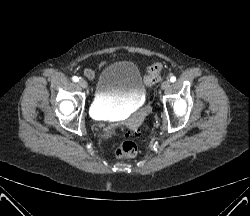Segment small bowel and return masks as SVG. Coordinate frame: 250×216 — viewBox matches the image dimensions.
Returning a JSON list of instances; mask_svg holds the SVG:
<instances>
[{
    "label": "small bowel",
    "instance_id": "c3829d8e",
    "mask_svg": "<svg viewBox=\"0 0 250 216\" xmlns=\"http://www.w3.org/2000/svg\"><path fill=\"white\" fill-rule=\"evenodd\" d=\"M85 75H86L88 78H93V77H94V71L88 69V70L85 71Z\"/></svg>",
    "mask_w": 250,
    "mask_h": 216
}]
</instances>
